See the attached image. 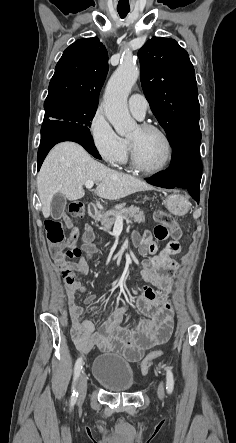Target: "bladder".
Segmentation results:
<instances>
[{"label":"bladder","instance_id":"31cf9c89","mask_svg":"<svg viewBox=\"0 0 236 443\" xmlns=\"http://www.w3.org/2000/svg\"><path fill=\"white\" fill-rule=\"evenodd\" d=\"M93 375L107 391L129 392L134 386L133 370L121 357L103 354L94 363Z\"/></svg>","mask_w":236,"mask_h":443}]
</instances>
